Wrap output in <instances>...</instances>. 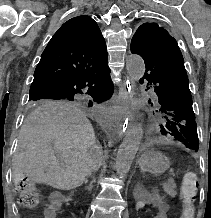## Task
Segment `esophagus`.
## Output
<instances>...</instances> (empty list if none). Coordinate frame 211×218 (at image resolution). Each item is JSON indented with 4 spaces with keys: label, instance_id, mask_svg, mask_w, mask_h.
Returning a JSON list of instances; mask_svg holds the SVG:
<instances>
[{
    "label": "esophagus",
    "instance_id": "34e87169",
    "mask_svg": "<svg viewBox=\"0 0 211 218\" xmlns=\"http://www.w3.org/2000/svg\"><path fill=\"white\" fill-rule=\"evenodd\" d=\"M123 75L126 77V80L124 81L125 85L119 87L118 97L111 100V103L113 105L111 109V117L112 120L117 121V123H119V131H127V128H131L132 121L131 118H121L127 117L132 112L129 109L131 106L128 104V102L133 99L132 88L134 87V82L131 80V76H127L128 74L126 72ZM114 135L116 137H121V132H116Z\"/></svg>",
    "mask_w": 211,
    "mask_h": 218
}]
</instances>
